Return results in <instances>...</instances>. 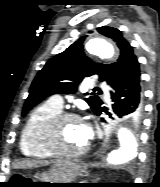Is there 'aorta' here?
<instances>
[{
    "instance_id": "aorta-1",
    "label": "aorta",
    "mask_w": 160,
    "mask_h": 187,
    "mask_svg": "<svg viewBox=\"0 0 160 187\" xmlns=\"http://www.w3.org/2000/svg\"><path fill=\"white\" fill-rule=\"evenodd\" d=\"M86 50L101 59H109L115 53L111 42L101 36L90 39L86 44ZM117 138L119 145L112 149L106 157V162L109 165L125 163L136 155L138 140L130 129L121 127L117 132Z\"/></svg>"
}]
</instances>
